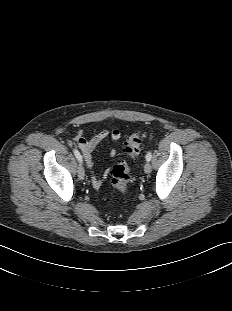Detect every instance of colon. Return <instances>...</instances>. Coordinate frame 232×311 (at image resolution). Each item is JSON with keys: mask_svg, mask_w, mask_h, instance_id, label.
I'll list each match as a JSON object with an SVG mask.
<instances>
[{"mask_svg": "<svg viewBox=\"0 0 232 311\" xmlns=\"http://www.w3.org/2000/svg\"><path fill=\"white\" fill-rule=\"evenodd\" d=\"M142 138L143 135L141 132H134L128 135L124 142V153L131 158L136 157L142 148ZM130 181L129 166L125 162H119L112 167L110 182L118 193L125 194L129 190ZM116 199L117 194L111 192L105 197V202L107 205H112Z\"/></svg>", "mask_w": 232, "mask_h": 311, "instance_id": "colon-1", "label": "colon"}]
</instances>
